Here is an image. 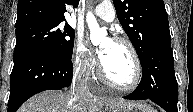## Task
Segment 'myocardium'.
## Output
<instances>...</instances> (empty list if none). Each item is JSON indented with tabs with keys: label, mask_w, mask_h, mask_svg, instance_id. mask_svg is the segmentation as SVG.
Returning a JSON list of instances; mask_svg holds the SVG:
<instances>
[{
	"label": "myocardium",
	"mask_w": 193,
	"mask_h": 112,
	"mask_svg": "<svg viewBox=\"0 0 193 112\" xmlns=\"http://www.w3.org/2000/svg\"><path fill=\"white\" fill-rule=\"evenodd\" d=\"M114 42L120 43L125 45L132 56L133 62H134V76L132 81L127 84V85H120L115 83L114 81H112L104 72L103 67L101 65V63L98 66V74L100 76V78L110 87H112L113 89L119 90V91H132L134 89H136L138 87V85L141 82V78H142V66H141V61L138 55V52L136 50V48L134 47V45L132 44V42L124 37H114L113 40Z\"/></svg>",
	"instance_id": "1"
}]
</instances>
